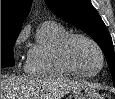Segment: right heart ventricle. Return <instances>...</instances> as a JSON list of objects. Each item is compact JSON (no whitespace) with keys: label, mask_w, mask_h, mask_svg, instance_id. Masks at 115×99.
I'll use <instances>...</instances> for the list:
<instances>
[{"label":"right heart ventricle","mask_w":115,"mask_h":99,"mask_svg":"<svg viewBox=\"0 0 115 99\" xmlns=\"http://www.w3.org/2000/svg\"><path fill=\"white\" fill-rule=\"evenodd\" d=\"M70 34L60 23L44 22L38 30L36 43L28 52L26 71L39 76L75 74L66 66L60 54L61 45Z\"/></svg>","instance_id":"right-heart-ventricle-1"}]
</instances>
